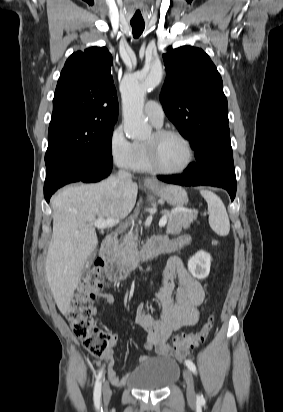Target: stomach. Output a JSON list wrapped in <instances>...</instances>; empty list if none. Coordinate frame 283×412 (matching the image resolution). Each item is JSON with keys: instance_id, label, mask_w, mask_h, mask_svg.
I'll return each mask as SVG.
<instances>
[{"instance_id": "stomach-1", "label": "stomach", "mask_w": 283, "mask_h": 412, "mask_svg": "<svg viewBox=\"0 0 283 412\" xmlns=\"http://www.w3.org/2000/svg\"><path fill=\"white\" fill-rule=\"evenodd\" d=\"M150 190L174 207L182 206L188 200L187 192L180 186H156L151 187Z\"/></svg>"}]
</instances>
